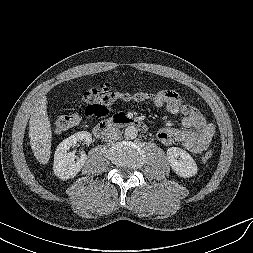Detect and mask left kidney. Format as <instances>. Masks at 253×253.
Returning <instances> with one entry per match:
<instances>
[{
	"label": "left kidney",
	"instance_id": "obj_1",
	"mask_svg": "<svg viewBox=\"0 0 253 253\" xmlns=\"http://www.w3.org/2000/svg\"><path fill=\"white\" fill-rule=\"evenodd\" d=\"M167 158L175 173L183 178L193 177L197 174V164L191 155L178 147H171L167 150Z\"/></svg>",
	"mask_w": 253,
	"mask_h": 253
}]
</instances>
